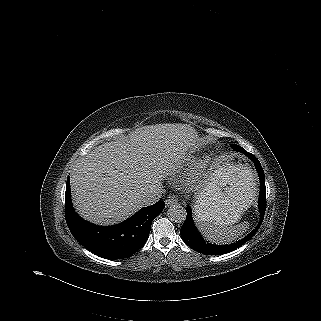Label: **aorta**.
Listing matches in <instances>:
<instances>
[{"label": "aorta", "mask_w": 321, "mask_h": 321, "mask_svg": "<svg viewBox=\"0 0 321 321\" xmlns=\"http://www.w3.org/2000/svg\"><path fill=\"white\" fill-rule=\"evenodd\" d=\"M170 220L175 223H182L185 221L187 212L186 209L180 204L171 205L167 211Z\"/></svg>", "instance_id": "1"}]
</instances>
